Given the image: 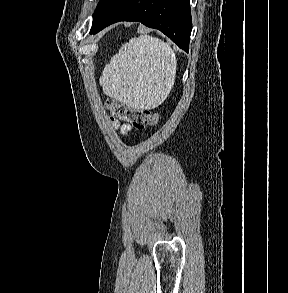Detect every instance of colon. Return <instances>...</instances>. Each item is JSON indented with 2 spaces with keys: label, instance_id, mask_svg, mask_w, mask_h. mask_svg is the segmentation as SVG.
I'll return each mask as SVG.
<instances>
[{
  "label": "colon",
  "instance_id": "obj_1",
  "mask_svg": "<svg viewBox=\"0 0 288 293\" xmlns=\"http://www.w3.org/2000/svg\"><path fill=\"white\" fill-rule=\"evenodd\" d=\"M106 105L115 118L130 123L136 129H144L148 126L156 125L160 119V115L157 112L132 108L117 103L113 99H108Z\"/></svg>",
  "mask_w": 288,
  "mask_h": 293
}]
</instances>
